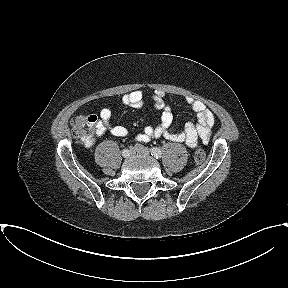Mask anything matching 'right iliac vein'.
Returning <instances> with one entry per match:
<instances>
[{"label": "right iliac vein", "instance_id": "obj_1", "mask_svg": "<svg viewBox=\"0 0 288 288\" xmlns=\"http://www.w3.org/2000/svg\"><path fill=\"white\" fill-rule=\"evenodd\" d=\"M127 150H128V155L127 156H123L124 158L130 157L134 153V149L133 148L127 149Z\"/></svg>", "mask_w": 288, "mask_h": 288}]
</instances>
